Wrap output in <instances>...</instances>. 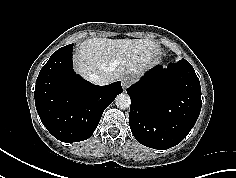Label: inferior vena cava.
<instances>
[{"label": "inferior vena cava", "instance_id": "1", "mask_svg": "<svg viewBox=\"0 0 236 178\" xmlns=\"http://www.w3.org/2000/svg\"><path fill=\"white\" fill-rule=\"evenodd\" d=\"M90 80L100 86L107 85L112 82L111 78L107 75L93 74L90 76Z\"/></svg>", "mask_w": 236, "mask_h": 178}]
</instances>
